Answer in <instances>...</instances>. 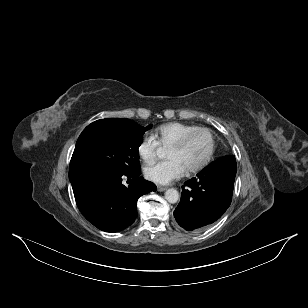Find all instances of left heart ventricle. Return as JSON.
Returning <instances> with one entry per match:
<instances>
[{
	"mask_svg": "<svg viewBox=\"0 0 308 308\" xmlns=\"http://www.w3.org/2000/svg\"><path fill=\"white\" fill-rule=\"evenodd\" d=\"M210 145L209 135L205 132H200L194 135L181 149L169 147L166 156L168 159H178L187 170L198 165L206 157Z\"/></svg>",
	"mask_w": 308,
	"mask_h": 308,
	"instance_id": "left-heart-ventricle-1",
	"label": "left heart ventricle"
}]
</instances>
